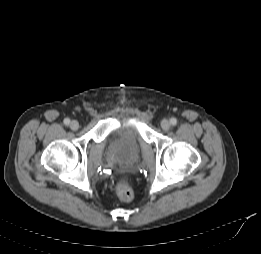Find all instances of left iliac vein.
Instances as JSON below:
<instances>
[{
	"mask_svg": "<svg viewBox=\"0 0 261 254\" xmlns=\"http://www.w3.org/2000/svg\"><path fill=\"white\" fill-rule=\"evenodd\" d=\"M171 125L170 122L166 119L161 121V128L165 131H168L170 129Z\"/></svg>",
	"mask_w": 261,
	"mask_h": 254,
	"instance_id": "4c4485c4",
	"label": "left iliac vein"
}]
</instances>
